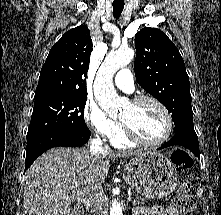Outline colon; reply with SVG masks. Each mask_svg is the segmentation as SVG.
I'll return each instance as SVG.
<instances>
[{
	"mask_svg": "<svg viewBox=\"0 0 221 215\" xmlns=\"http://www.w3.org/2000/svg\"><path fill=\"white\" fill-rule=\"evenodd\" d=\"M171 161L175 168L183 173H188L193 166L192 156L184 149H175L171 154ZM174 208L180 215H193L195 200L190 194V179L186 177L173 200Z\"/></svg>",
	"mask_w": 221,
	"mask_h": 215,
	"instance_id": "obj_1",
	"label": "colon"
}]
</instances>
